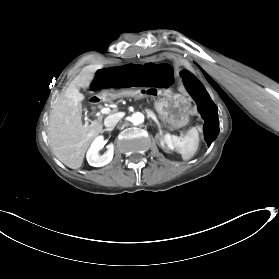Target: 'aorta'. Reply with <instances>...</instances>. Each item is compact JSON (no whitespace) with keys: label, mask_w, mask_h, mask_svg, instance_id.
Returning a JSON list of instances; mask_svg holds the SVG:
<instances>
[{"label":"aorta","mask_w":279,"mask_h":279,"mask_svg":"<svg viewBox=\"0 0 279 279\" xmlns=\"http://www.w3.org/2000/svg\"><path fill=\"white\" fill-rule=\"evenodd\" d=\"M130 121L134 124V125H138L140 123H142L144 121V115L140 112L134 113L131 118Z\"/></svg>","instance_id":"762f6f07"}]
</instances>
